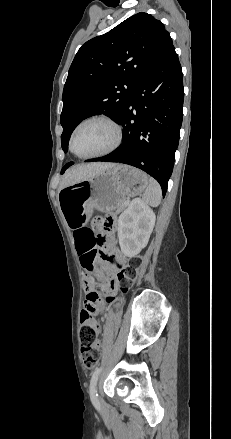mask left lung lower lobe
<instances>
[{"label": "left lung lower lobe", "mask_w": 231, "mask_h": 439, "mask_svg": "<svg viewBox=\"0 0 231 439\" xmlns=\"http://www.w3.org/2000/svg\"><path fill=\"white\" fill-rule=\"evenodd\" d=\"M183 99V74L172 46L131 92L117 121L124 130L122 145L88 161L137 167L159 182L165 196L179 143Z\"/></svg>", "instance_id": "obj_1"}]
</instances>
